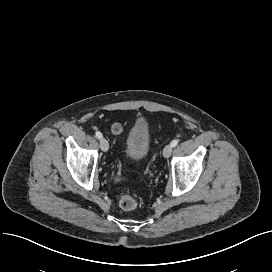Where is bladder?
Listing matches in <instances>:
<instances>
[{
    "label": "bladder",
    "mask_w": 272,
    "mask_h": 272,
    "mask_svg": "<svg viewBox=\"0 0 272 272\" xmlns=\"http://www.w3.org/2000/svg\"><path fill=\"white\" fill-rule=\"evenodd\" d=\"M151 149L149 123L144 117L135 119L126 135L125 153L132 160L144 158Z\"/></svg>",
    "instance_id": "1"
}]
</instances>
